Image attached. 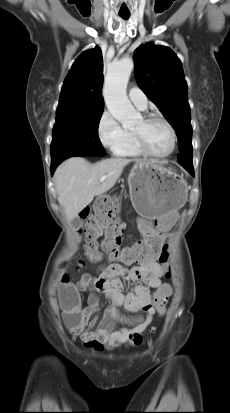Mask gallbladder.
<instances>
[{
    "label": "gallbladder",
    "instance_id": "gallbladder-1",
    "mask_svg": "<svg viewBox=\"0 0 230 413\" xmlns=\"http://www.w3.org/2000/svg\"><path fill=\"white\" fill-rule=\"evenodd\" d=\"M80 224H81V222H80L79 220H77V219H75V220L73 221V226H74V227H79Z\"/></svg>",
    "mask_w": 230,
    "mask_h": 413
}]
</instances>
